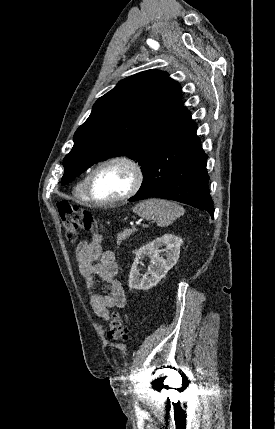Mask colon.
<instances>
[{"mask_svg": "<svg viewBox=\"0 0 275 429\" xmlns=\"http://www.w3.org/2000/svg\"><path fill=\"white\" fill-rule=\"evenodd\" d=\"M57 210L66 237L70 242H76L80 230L98 231L100 226L93 215L86 209L73 206L67 201L57 203ZM108 338L111 341H125L128 331L119 313L114 312L110 321Z\"/></svg>", "mask_w": 275, "mask_h": 429, "instance_id": "obj_1", "label": "colon"}]
</instances>
